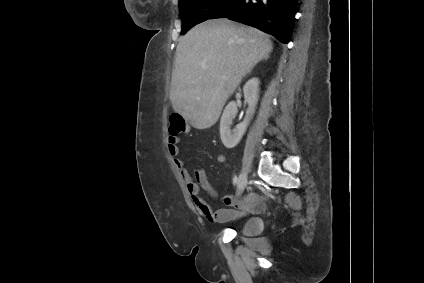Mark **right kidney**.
I'll list each match as a JSON object with an SVG mask.
<instances>
[{"label": "right kidney", "instance_id": "ca27d5eb", "mask_svg": "<svg viewBox=\"0 0 424 283\" xmlns=\"http://www.w3.org/2000/svg\"><path fill=\"white\" fill-rule=\"evenodd\" d=\"M258 87L259 80L255 77L249 79L245 83L243 92L245 101L248 103V109L244 121L238 124L233 130H231V126L237 113V104L234 101H231L225 107L220 120V136L225 147L234 148L242 139L250 117L255 111V106L258 101Z\"/></svg>", "mask_w": 424, "mask_h": 283}]
</instances>
